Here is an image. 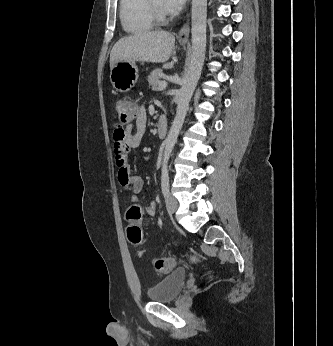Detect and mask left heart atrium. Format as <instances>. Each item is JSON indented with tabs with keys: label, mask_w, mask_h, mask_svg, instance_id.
<instances>
[{
	"label": "left heart atrium",
	"mask_w": 333,
	"mask_h": 346,
	"mask_svg": "<svg viewBox=\"0 0 333 346\" xmlns=\"http://www.w3.org/2000/svg\"><path fill=\"white\" fill-rule=\"evenodd\" d=\"M162 8L166 13H176L182 9L186 0H161Z\"/></svg>",
	"instance_id": "obj_1"
}]
</instances>
